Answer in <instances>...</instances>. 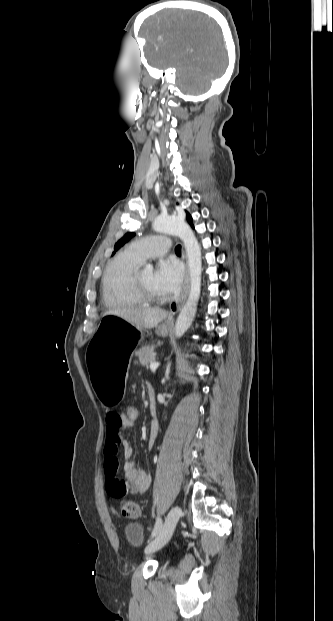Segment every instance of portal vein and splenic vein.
Here are the masks:
<instances>
[{
    "mask_svg": "<svg viewBox=\"0 0 333 621\" xmlns=\"http://www.w3.org/2000/svg\"><path fill=\"white\" fill-rule=\"evenodd\" d=\"M160 365L159 362H151L149 365L150 370L154 371L158 368V366Z\"/></svg>",
    "mask_w": 333,
    "mask_h": 621,
    "instance_id": "obj_1",
    "label": "portal vein and splenic vein"
}]
</instances>
